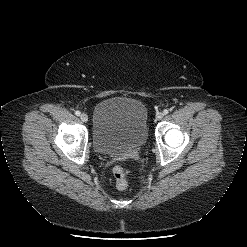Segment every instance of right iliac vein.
I'll list each match as a JSON object with an SVG mask.
<instances>
[{"label":"right iliac vein","mask_w":247,"mask_h":247,"mask_svg":"<svg viewBox=\"0 0 247 247\" xmlns=\"http://www.w3.org/2000/svg\"><path fill=\"white\" fill-rule=\"evenodd\" d=\"M80 119H81L83 122H87V121H88V116H87V114L82 113V114L80 115Z\"/></svg>","instance_id":"1"}]
</instances>
